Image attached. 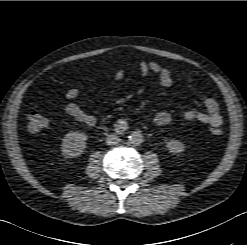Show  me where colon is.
<instances>
[{
	"instance_id": "colon-1",
	"label": "colon",
	"mask_w": 247,
	"mask_h": 245,
	"mask_svg": "<svg viewBox=\"0 0 247 245\" xmlns=\"http://www.w3.org/2000/svg\"><path fill=\"white\" fill-rule=\"evenodd\" d=\"M47 118L40 112L33 111L28 115V129L31 133L36 134L47 126ZM213 135H221L222 130L219 127L211 128Z\"/></svg>"
}]
</instances>
